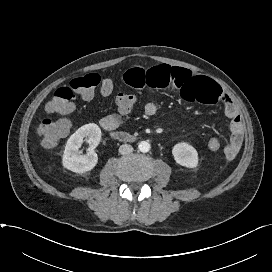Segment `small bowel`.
I'll list each match as a JSON object with an SVG mask.
<instances>
[{"mask_svg": "<svg viewBox=\"0 0 272 272\" xmlns=\"http://www.w3.org/2000/svg\"><path fill=\"white\" fill-rule=\"evenodd\" d=\"M127 85L135 89H162L173 87L179 90L185 101L204 104L219 103L222 105L226 117L230 120L231 136L223 152L228 160H233L239 153L244 136V123L240 112L231 98L214 81L190 70L170 65H157L148 69L134 68L124 74ZM157 106L153 102L144 105L146 115L156 113ZM121 112L109 113L100 119L103 129L112 131L121 122Z\"/></svg>", "mask_w": 272, "mask_h": 272, "instance_id": "1", "label": "small bowel"}]
</instances>
